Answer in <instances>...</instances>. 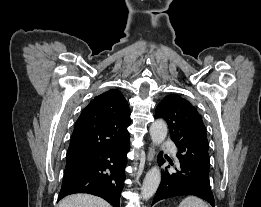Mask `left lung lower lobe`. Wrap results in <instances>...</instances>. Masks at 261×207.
I'll use <instances>...</instances> for the list:
<instances>
[{
    "label": "left lung lower lobe",
    "instance_id": "obj_1",
    "mask_svg": "<svg viewBox=\"0 0 261 207\" xmlns=\"http://www.w3.org/2000/svg\"><path fill=\"white\" fill-rule=\"evenodd\" d=\"M159 163L164 160L160 157ZM178 168L175 172L165 171L155 194L152 205L157 201L174 196L193 195L200 197L215 206L210 188L209 171L196 166L185 159L178 158ZM173 165V162H170Z\"/></svg>",
    "mask_w": 261,
    "mask_h": 207
}]
</instances>
